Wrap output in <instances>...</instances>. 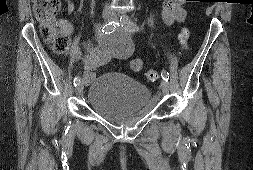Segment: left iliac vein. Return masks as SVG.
Listing matches in <instances>:
<instances>
[{"label": "left iliac vein", "instance_id": "4c4485c4", "mask_svg": "<svg viewBox=\"0 0 253 170\" xmlns=\"http://www.w3.org/2000/svg\"><path fill=\"white\" fill-rule=\"evenodd\" d=\"M112 20H116V21L118 20V18L115 14L112 15ZM125 29L129 32H132V26H128ZM161 89H162L164 94L169 93L170 85H169L168 81L163 80L161 82Z\"/></svg>", "mask_w": 253, "mask_h": 170}]
</instances>
